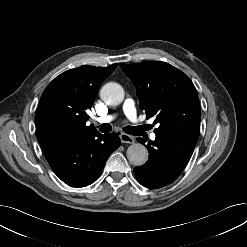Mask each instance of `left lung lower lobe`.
<instances>
[{
    "mask_svg": "<svg viewBox=\"0 0 247 247\" xmlns=\"http://www.w3.org/2000/svg\"><path fill=\"white\" fill-rule=\"evenodd\" d=\"M145 145V140L137 138ZM197 141L185 136L156 135L145 146L149 160L134 168L138 182L151 189L164 187L177 179L186 167Z\"/></svg>",
    "mask_w": 247,
    "mask_h": 247,
    "instance_id": "0a47b994",
    "label": "left lung lower lobe"
}]
</instances>
